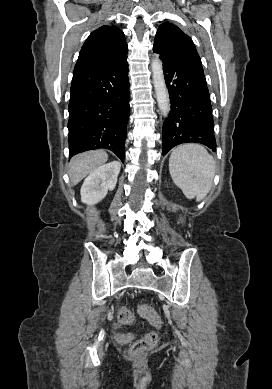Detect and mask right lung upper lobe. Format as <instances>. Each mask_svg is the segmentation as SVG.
I'll return each mask as SVG.
<instances>
[{
  "instance_id": "1",
  "label": "right lung upper lobe",
  "mask_w": 272,
  "mask_h": 389,
  "mask_svg": "<svg viewBox=\"0 0 272 389\" xmlns=\"http://www.w3.org/2000/svg\"><path fill=\"white\" fill-rule=\"evenodd\" d=\"M123 32L104 25L93 31L83 44L73 75L84 74L114 64L127 56Z\"/></svg>"
}]
</instances>
